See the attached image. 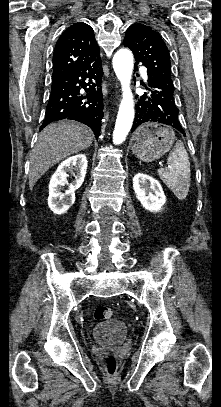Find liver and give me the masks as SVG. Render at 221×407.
<instances>
[{"label":"liver","mask_w":221,"mask_h":407,"mask_svg":"<svg viewBox=\"0 0 221 407\" xmlns=\"http://www.w3.org/2000/svg\"><path fill=\"white\" fill-rule=\"evenodd\" d=\"M94 134L88 127L74 121H59L46 126L30 157L29 188L64 158L88 148Z\"/></svg>","instance_id":"obj_1"}]
</instances>
